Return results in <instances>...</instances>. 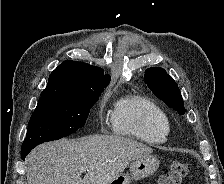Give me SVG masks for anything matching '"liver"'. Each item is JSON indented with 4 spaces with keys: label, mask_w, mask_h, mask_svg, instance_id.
Returning a JSON list of instances; mask_svg holds the SVG:
<instances>
[{
    "label": "liver",
    "mask_w": 224,
    "mask_h": 184,
    "mask_svg": "<svg viewBox=\"0 0 224 184\" xmlns=\"http://www.w3.org/2000/svg\"><path fill=\"white\" fill-rule=\"evenodd\" d=\"M153 150L115 135L61 139L34 148L27 156L28 184H107L133 161ZM81 167L88 168L84 178Z\"/></svg>",
    "instance_id": "liver-1"
}]
</instances>
